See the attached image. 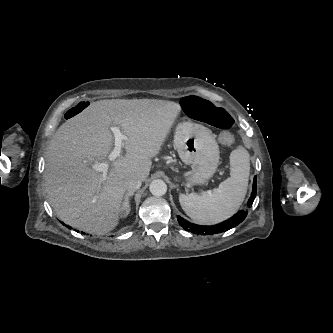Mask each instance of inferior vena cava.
I'll use <instances>...</instances> for the list:
<instances>
[{"mask_svg": "<svg viewBox=\"0 0 333 333\" xmlns=\"http://www.w3.org/2000/svg\"><path fill=\"white\" fill-rule=\"evenodd\" d=\"M141 179L137 177H128L124 181V187L128 192H134L141 187Z\"/></svg>", "mask_w": 333, "mask_h": 333, "instance_id": "602c4592", "label": "inferior vena cava"}]
</instances>
